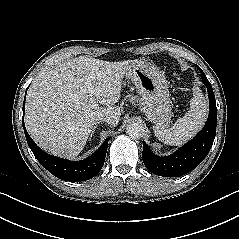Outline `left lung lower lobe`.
I'll return each instance as SVG.
<instances>
[{"mask_svg": "<svg viewBox=\"0 0 239 239\" xmlns=\"http://www.w3.org/2000/svg\"><path fill=\"white\" fill-rule=\"evenodd\" d=\"M207 87L210 112L203 129L179 150L166 157L154 155L143 141V163L153 174L163 177H179L195 169L209 153L216 134L217 107L210 82Z\"/></svg>", "mask_w": 239, "mask_h": 239, "instance_id": "0a47b994", "label": "left lung lower lobe"}]
</instances>
